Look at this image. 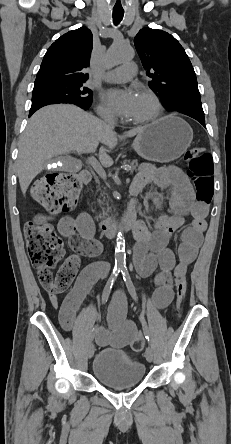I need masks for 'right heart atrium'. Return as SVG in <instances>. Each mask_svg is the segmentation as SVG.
<instances>
[{"label":"right heart atrium","mask_w":231,"mask_h":444,"mask_svg":"<svg viewBox=\"0 0 231 444\" xmlns=\"http://www.w3.org/2000/svg\"><path fill=\"white\" fill-rule=\"evenodd\" d=\"M97 112L98 114L108 120H113L115 118L113 112L104 104H99L97 106Z\"/></svg>","instance_id":"1"}]
</instances>
